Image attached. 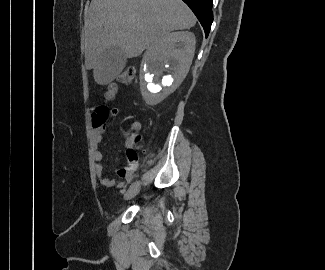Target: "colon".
<instances>
[{
  "instance_id": "1",
  "label": "colon",
  "mask_w": 325,
  "mask_h": 270,
  "mask_svg": "<svg viewBox=\"0 0 325 270\" xmlns=\"http://www.w3.org/2000/svg\"><path fill=\"white\" fill-rule=\"evenodd\" d=\"M136 74V69L132 66L126 68L123 73L113 82L106 85L104 97L106 101H113L118 93L119 85H130ZM133 159H137V155H133Z\"/></svg>"
}]
</instances>
